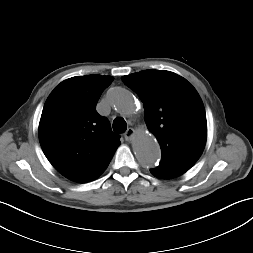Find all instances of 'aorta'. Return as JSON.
Wrapping results in <instances>:
<instances>
[{
    "label": "aorta",
    "instance_id": "aorta-1",
    "mask_svg": "<svg viewBox=\"0 0 253 253\" xmlns=\"http://www.w3.org/2000/svg\"><path fill=\"white\" fill-rule=\"evenodd\" d=\"M108 101L111 107L122 115H130L135 110L133 94L124 88H113L109 91ZM135 155L144 167H153L160 159V147L146 129L136 132L133 142Z\"/></svg>",
    "mask_w": 253,
    "mask_h": 253
}]
</instances>
